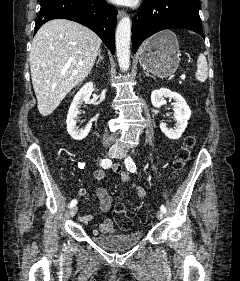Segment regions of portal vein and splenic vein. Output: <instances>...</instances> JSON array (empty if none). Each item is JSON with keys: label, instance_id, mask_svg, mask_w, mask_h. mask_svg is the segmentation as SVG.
<instances>
[{"label": "portal vein and splenic vein", "instance_id": "portal-vein-and-splenic-vein-1", "mask_svg": "<svg viewBox=\"0 0 240 281\" xmlns=\"http://www.w3.org/2000/svg\"><path fill=\"white\" fill-rule=\"evenodd\" d=\"M180 78H181V79H185V74H181V75H180Z\"/></svg>", "mask_w": 240, "mask_h": 281}]
</instances>
